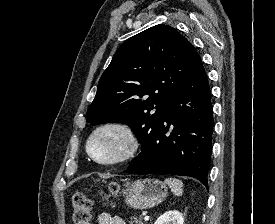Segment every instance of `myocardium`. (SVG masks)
<instances>
[{"instance_id": "myocardium-1", "label": "myocardium", "mask_w": 275, "mask_h": 224, "mask_svg": "<svg viewBox=\"0 0 275 224\" xmlns=\"http://www.w3.org/2000/svg\"><path fill=\"white\" fill-rule=\"evenodd\" d=\"M107 130H115L122 134L125 139L126 146L124 151L116 158L110 160H100L98 159L90 149L92 140L101 132ZM139 147L138 139L133 131V129L126 123L120 121H107L98 126H96L89 134L85 149L88 156L96 163L102 166H114L123 164L129 161L137 152Z\"/></svg>"}]
</instances>
